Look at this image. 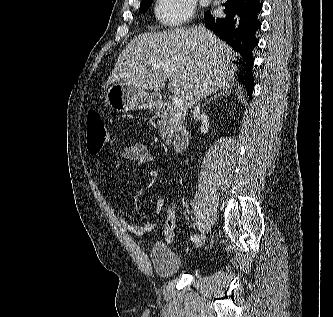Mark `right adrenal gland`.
I'll list each match as a JSON object with an SVG mask.
<instances>
[{
    "mask_svg": "<svg viewBox=\"0 0 333 317\" xmlns=\"http://www.w3.org/2000/svg\"><path fill=\"white\" fill-rule=\"evenodd\" d=\"M230 94L231 92L228 88L219 90L212 97H210L206 103L203 104V107L206 106L208 103H210V101H212L213 99L219 97L220 95H230Z\"/></svg>",
    "mask_w": 333,
    "mask_h": 317,
    "instance_id": "obj_1",
    "label": "right adrenal gland"
}]
</instances>
